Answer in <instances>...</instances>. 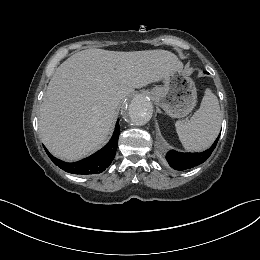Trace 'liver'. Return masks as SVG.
Instances as JSON below:
<instances>
[{
  "instance_id": "1",
  "label": "liver",
  "mask_w": 260,
  "mask_h": 260,
  "mask_svg": "<svg viewBox=\"0 0 260 260\" xmlns=\"http://www.w3.org/2000/svg\"><path fill=\"white\" fill-rule=\"evenodd\" d=\"M182 68L167 50L73 54L56 69L40 106L42 142L65 161L87 156L104 142L121 99Z\"/></svg>"
}]
</instances>
